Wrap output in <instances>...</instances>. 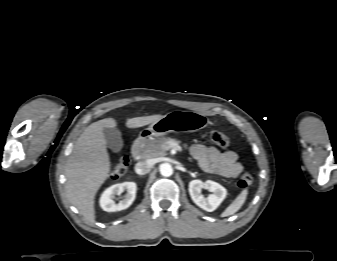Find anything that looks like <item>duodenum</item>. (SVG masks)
<instances>
[{
    "instance_id": "duodenum-1",
    "label": "duodenum",
    "mask_w": 337,
    "mask_h": 261,
    "mask_svg": "<svg viewBox=\"0 0 337 261\" xmlns=\"http://www.w3.org/2000/svg\"><path fill=\"white\" fill-rule=\"evenodd\" d=\"M144 139H145L144 136H140V137H138V138L134 141V143H133V145H132V148H131V153H132V156H133L134 158H138V157H139V155H140V150H141V145H142Z\"/></svg>"
}]
</instances>
